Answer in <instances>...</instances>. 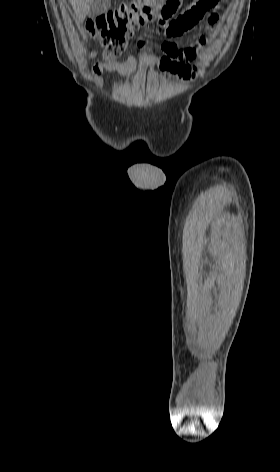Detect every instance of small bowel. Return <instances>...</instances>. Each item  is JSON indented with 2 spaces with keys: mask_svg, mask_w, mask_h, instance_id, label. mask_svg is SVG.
<instances>
[{
  "mask_svg": "<svg viewBox=\"0 0 280 472\" xmlns=\"http://www.w3.org/2000/svg\"><path fill=\"white\" fill-rule=\"evenodd\" d=\"M204 0H193L182 12L172 20L159 21V32L162 33L166 41L162 44L163 56L158 62V68L161 72L178 75L182 78H189L192 75V66L190 63L196 57V47L181 49L173 39L191 31L209 11L200 7L198 4ZM214 22H210L212 25ZM206 42L205 37H201L199 45ZM144 41L139 42V47H143ZM96 52L90 54L95 57ZM137 60L135 56L129 55L122 61H117L106 54L102 59L96 62L92 67V73L95 76V82L98 86L102 85L101 74L103 72H117L120 80L114 82L113 89L117 88L124 80L131 78L136 70Z\"/></svg>",
  "mask_w": 280,
  "mask_h": 472,
  "instance_id": "1",
  "label": "small bowel"
}]
</instances>
